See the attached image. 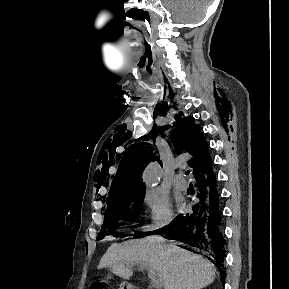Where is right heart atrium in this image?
<instances>
[{"instance_id":"right-heart-atrium-1","label":"right heart atrium","mask_w":289,"mask_h":289,"mask_svg":"<svg viewBox=\"0 0 289 289\" xmlns=\"http://www.w3.org/2000/svg\"><path fill=\"white\" fill-rule=\"evenodd\" d=\"M143 204L148 215V223L143 226V230L155 231L172 222L173 211L164 192L158 189L147 190L143 196Z\"/></svg>"}]
</instances>
